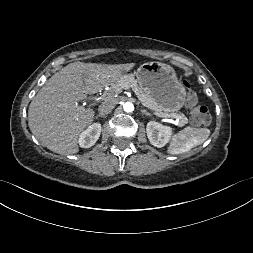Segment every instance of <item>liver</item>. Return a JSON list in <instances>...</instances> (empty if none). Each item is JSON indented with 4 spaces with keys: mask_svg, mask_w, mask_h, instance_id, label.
<instances>
[{
    "mask_svg": "<svg viewBox=\"0 0 253 253\" xmlns=\"http://www.w3.org/2000/svg\"><path fill=\"white\" fill-rule=\"evenodd\" d=\"M134 64L106 65L73 62L49 78L32 99L28 125L34 136L59 154L79 151L78 138L93 122L95 112L77 104L117 82Z\"/></svg>",
    "mask_w": 253,
    "mask_h": 253,
    "instance_id": "6515ba94",
    "label": "liver"
}]
</instances>
